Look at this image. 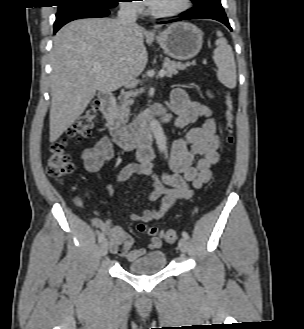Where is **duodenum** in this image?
I'll list each match as a JSON object with an SVG mask.
<instances>
[{
	"label": "duodenum",
	"instance_id": "1",
	"mask_svg": "<svg viewBox=\"0 0 304 329\" xmlns=\"http://www.w3.org/2000/svg\"><path fill=\"white\" fill-rule=\"evenodd\" d=\"M98 99L101 111L108 122L110 135L116 145L123 149H131L138 143H146L151 138L152 127L148 123L150 118L156 117L163 122L172 120L169 112L155 108L148 116H141L133 124L127 125L116 108L115 97L110 92H101Z\"/></svg>",
	"mask_w": 304,
	"mask_h": 329
}]
</instances>
